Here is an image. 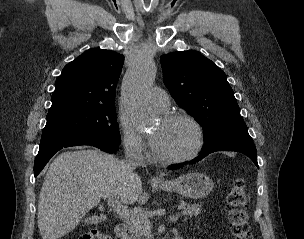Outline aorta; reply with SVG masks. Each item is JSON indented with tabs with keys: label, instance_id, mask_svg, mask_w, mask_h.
<instances>
[{
	"label": "aorta",
	"instance_id": "1",
	"mask_svg": "<svg viewBox=\"0 0 304 239\" xmlns=\"http://www.w3.org/2000/svg\"><path fill=\"white\" fill-rule=\"evenodd\" d=\"M156 68L150 57H140L126 75L122 86V100L134 121L141 125L151 122L152 115L147 105L146 92L153 84Z\"/></svg>",
	"mask_w": 304,
	"mask_h": 239
}]
</instances>
